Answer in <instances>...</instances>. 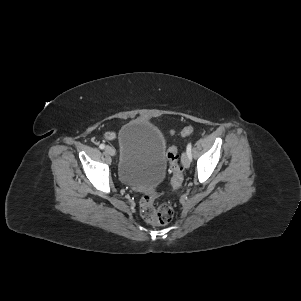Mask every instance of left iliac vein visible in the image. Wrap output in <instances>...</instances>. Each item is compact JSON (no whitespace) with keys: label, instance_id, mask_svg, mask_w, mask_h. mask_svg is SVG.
<instances>
[{"label":"left iliac vein","instance_id":"obj_1","mask_svg":"<svg viewBox=\"0 0 301 301\" xmlns=\"http://www.w3.org/2000/svg\"><path fill=\"white\" fill-rule=\"evenodd\" d=\"M181 161H182L184 168L188 169L190 167V158H189L187 152H184L182 154Z\"/></svg>","mask_w":301,"mask_h":301}]
</instances>
